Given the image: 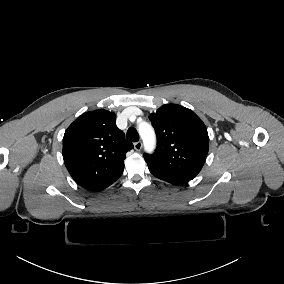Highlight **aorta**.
<instances>
[{
	"mask_svg": "<svg viewBox=\"0 0 284 284\" xmlns=\"http://www.w3.org/2000/svg\"><path fill=\"white\" fill-rule=\"evenodd\" d=\"M140 136L143 140L144 148L147 152H152L155 148V133L152 126L146 122H142L138 127Z\"/></svg>",
	"mask_w": 284,
	"mask_h": 284,
	"instance_id": "aorta-1",
	"label": "aorta"
}]
</instances>
